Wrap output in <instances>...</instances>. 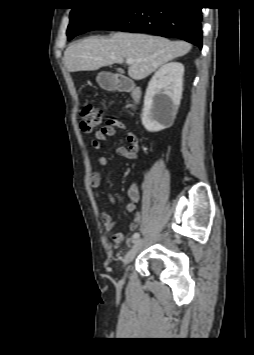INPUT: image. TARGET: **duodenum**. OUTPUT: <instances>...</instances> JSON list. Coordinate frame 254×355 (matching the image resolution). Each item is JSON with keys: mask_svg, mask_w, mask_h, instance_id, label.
Wrapping results in <instances>:
<instances>
[{"mask_svg": "<svg viewBox=\"0 0 254 355\" xmlns=\"http://www.w3.org/2000/svg\"><path fill=\"white\" fill-rule=\"evenodd\" d=\"M104 87L108 89L118 90L120 92L130 91L134 102H138L141 96V92L138 88L132 86V84L125 78H115L104 83Z\"/></svg>", "mask_w": 254, "mask_h": 355, "instance_id": "duodenum-1", "label": "duodenum"}]
</instances>
